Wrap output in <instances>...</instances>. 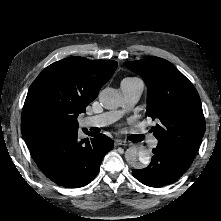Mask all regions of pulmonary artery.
<instances>
[{"label":"pulmonary artery","mask_w":221,"mask_h":221,"mask_svg":"<svg viewBox=\"0 0 221 221\" xmlns=\"http://www.w3.org/2000/svg\"><path fill=\"white\" fill-rule=\"evenodd\" d=\"M120 87L124 98V108L122 110H113L86 117L81 122L83 127H103L118 120L127 110L138 102L143 92L144 85L139 79L133 81L122 80Z\"/></svg>","instance_id":"e3ab8cb5"}]
</instances>
